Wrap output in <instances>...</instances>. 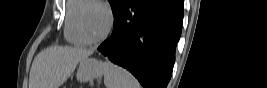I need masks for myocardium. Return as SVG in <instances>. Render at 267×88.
Here are the masks:
<instances>
[{
  "instance_id": "1",
  "label": "myocardium",
  "mask_w": 267,
  "mask_h": 88,
  "mask_svg": "<svg viewBox=\"0 0 267 88\" xmlns=\"http://www.w3.org/2000/svg\"><path fill=\"white\" fill-rule=\"evenodd\" d=\"M89 6L100 7L101 9H103L105 11V13L107 15V27H106L104 33L97 38L89 37L85 31L84 26H83V14H84L86 8ZM113 24H114V16H113V13H112L110 7L101 1L92 0L89 4H87L80 11V13L78 14V17H77V27H78L79 34L86 41V43H90V44L99 43V42H102L103 40H105L111 32V30L113 28Z\"/></svg>"
}]
</instances>
